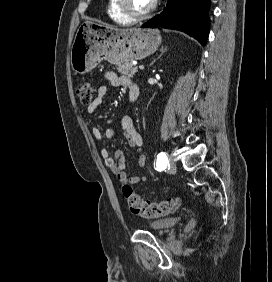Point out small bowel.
I'll return each mask as SVG.
<instances>
[{"label": "small bowel", "mask_w": 272, "mask_h": 282, "mask_svg": "<svg viewBox=\"0 0 272 282\" xmlns=\"http://www.w3.org/2000/svg\"><path fill=\"white\" fill-rule=\"evenodd\" d=\"M105 77L112 86L121 87L123 89H129V86L133 84V82L129 78L119 76L117 73L112 71L106 72ZM106 93V86H102L99 88L98 97L96 98L94 103L88 107V112L90 114L95 113L98 108L102 105L103 97ZM120 123L122 128L124 129L125 138L128 144L131 147L137 148L141 152L138 163L140 167H144L147 161V155L141 151L143 140L135 126V123L129 116L122 117ZM92 132L96 140L100 141L103 139V135L98 127H94ZM113 135L114 131L112 129H108L105 132L104 136L105 138L109 139L112 138ZM101 155L105 160L106 166L111 169V171L116 174L120 180L125 181L129 184H138L146 181V176L144 174L128 176L126 170V160L124 159L120 151L116 152L114 156H111L109 150L107 148H103L101 150Z\"/></svg>", "instance_id": "small-bowel-1"}]
</instances>
